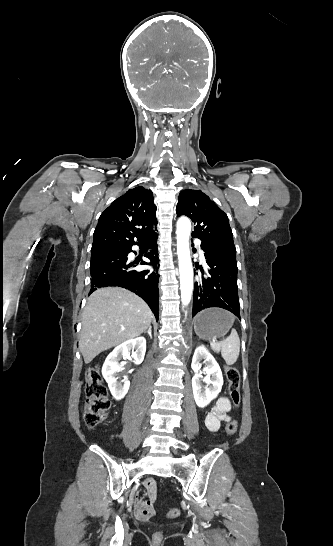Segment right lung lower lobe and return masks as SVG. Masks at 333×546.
Here are the masks:
<instances>
[{
    "instance_id": "98d812e1",
    "label": "right lung lower lobe",
    "mask_w": 333,
    "mask_h": 546,
    "mask_svg": "<svg viewBox=\"0 0 333 546\" xmlns=\"http://www.w3.org/2000/svg\"><path fill=\"white\" fill-rule=\"evenodd\" d=\"M157 233L136 242H111L92 247L91 249V294L97 288L118 286L126 288L140 296L151 308L158 319L159 289L158 276L155 271L134 269L136 263L129 262L128 254L133 245L140 248L149 245L151 250L145 255L150 262L141 261V265H151L156 271L159 263L157 252Z\"/></svg>"
}]
</instances>
